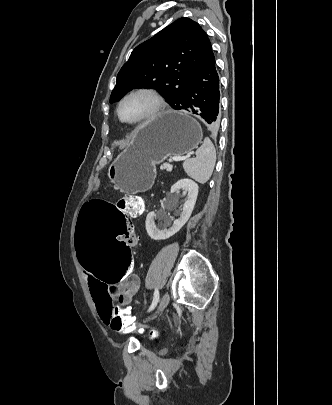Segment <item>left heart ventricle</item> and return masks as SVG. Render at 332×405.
<instances>
[{"instance_id": "obj_1", "label": "left heart ventricle", "mask_w": 332, "mask_h": 405, "mask_svg": "<svg viewBox=\"0 0 332 405\" xmlns=\"http://www.w3.org/2000/svg\"><path fill=\"white\" fill-rule=\"evenodd\" d=\"M153 99L146 94L129 97L121 107L123 119L133 121L147 115L153 108Z\"/></svg>"}]
</instances>
